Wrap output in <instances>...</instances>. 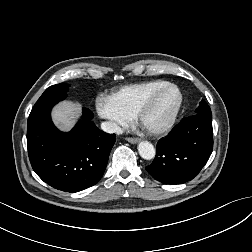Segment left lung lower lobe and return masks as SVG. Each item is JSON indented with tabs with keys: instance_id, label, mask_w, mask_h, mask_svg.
<instances>
[{
	"instance_id": "left-lung-lower-lobe-1",
	"label": "left lung lower lobe",
	"mask_w": 252,
	"mask_h": 252,
	"mask_svg": "<svg viewBox=\"0 0 252 252\" xmlns=\"http://www.w3.org/2000/svg\"><path fill=\"white\" fill-rule=\"evenodd\" d=\"M212 149V115L195 114L181 120L158 142L155 159L146 170L159 182L182 184L201 171Z\"/></svg>"
}]
</instances>
